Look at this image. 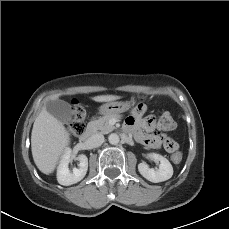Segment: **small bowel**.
Returning <instances> with one entry per match:
<instances>
[{
  "instance_id": "obj_1",
  "label": "small bowel",
  "mask_w": 229,
  "mask_h": 229,
  "mask_svg": "<svg viewBox=\"0 0 229 229\" xmlns=\"http://www.w3.org/2000/svg\"><path fill=\"white\" fill-rule=\"evenodd\" d=\"M146 107L144 105L136 106L127 117L124 125L126 132L132 134L135 140L150 149H159L162 146V141L159 136L152 134L155 128L163 131H172L175 128L162 129L160 121L156 122L155 117L145 116ZM162 117L171 118L168 113H164Z\"/></svg>"
}]
</instances>
